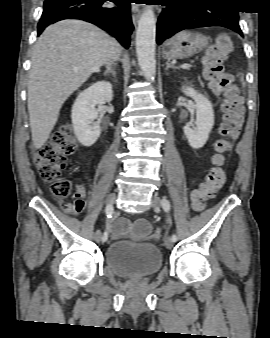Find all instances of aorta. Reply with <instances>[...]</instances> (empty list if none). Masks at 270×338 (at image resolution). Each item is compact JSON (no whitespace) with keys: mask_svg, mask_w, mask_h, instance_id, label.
Here are the masks:
<instances>
[{"mask_svg":"<svg viewBox=\"0 0 270 338\" xmlns=\"http://www.w3.org/2000/svg\"><path fill=\"white\" fill-rule=\"evenodd\" d=\"M156 18L148 7L139 19L136 32V53L141 70L147 80L153 81L156 74Z\"/></svg>","mask_w":270,"mask_h":338,"instance_id":"obj_1","label":"aorta"}]
</instances>
